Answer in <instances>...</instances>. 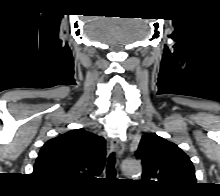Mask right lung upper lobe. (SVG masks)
Wrapping results in <instances>:
<instances>
[{
  "mask_svg": "<svg viewBox=\"0 0 220 196\" xmlns=\"http://www.w3.org/2000/svg\"><path fill=\"white\" fill-rule=\"evenodd\" d=\"M105 156L103 137L75 129L44 144L33 174L51 185L76 187L102 172Z\"/></svg>",
  "mask_w": 220,
  "mask_h": 196,
  "instance_id": "cb5924a9",
  "label": "right lung upper lobe"
}]
</instances>
